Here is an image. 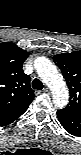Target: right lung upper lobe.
<instances>
[{
    "label": "right lung upper lobe",
    "instance_id": "obj_1",
    "mask_svg": "<svg viewBox=\"0 0 81 155\" xmlns=\"http://www.w3.org/2000/svg\"><path fill=\"white\" fill-rule=\"evenodd\" d=\"M29 53L12 42L0 46V124H10L29 107L35 95L22 70Z\"/></svg>",
    "mask_w": 81,
    "mask_h": 155
}]
</instances>
